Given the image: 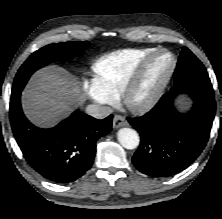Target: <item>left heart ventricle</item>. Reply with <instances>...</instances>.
I'll use <instances>...</instances> for the list:
<instances>
[{
	"label": "left heart ventricle",
	"mask_w": 222,
	"mask_h": 219,
	"mask_svg": "<svg viewBox=\"0 0 222 219\" xmlns=\"http://www.w3.org/2000/svg\"><path fill=\"white\" fill-rule=\"evenodd\" d=\"M170 61L171 58L167 54H163L154 60L148 71L146 80L138 93L139 97L146 96L158 86L170 65Z\"/></svg>",
	"instance_id": "obj_1"
}]
</instances>
